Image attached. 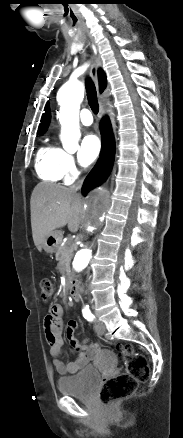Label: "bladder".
Masks as SVG:
<instances>
[{
  "label": "bladder",
  "instance_id": "obj_1",
  "mask_svg": "<svg viewBox=\"0 0 183 438\" xmlns=\"http://www.w3.org/2000/svg\"><path fill=\"white\" fill-rule=\"evenodd\" d=\"M99 382L100 374L97 369L86 367L74 376L60 378L57 388L62 395L88 399Z\"/></svg>",
  "mask_w": 183,
  "mask_h": 438
}]
</instances>
